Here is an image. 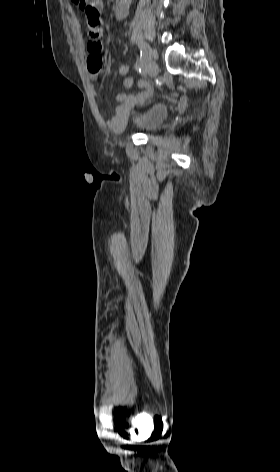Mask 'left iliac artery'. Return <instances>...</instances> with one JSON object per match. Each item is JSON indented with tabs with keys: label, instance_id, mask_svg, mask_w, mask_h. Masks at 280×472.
Wrapping results in <instances>:
<instances>
[{
	"label": "left iliac artery",
	"instance_id": "1",
	"mask_svg": "<svg viewBox=\"0 0 280 472\" xmlns=\"http://www.w3.org/2000/svg\"><path fill=\"white\" fill-rule=\"evenodd\" d=\"M140 49H141L140 59L134 66L136 70H141L144 67L145 63L148 60V56H149V48L147 46L141 45Z\"/></svg>",
	"mask_w": 280,
	"mask_h": 472
}]
</instances>
